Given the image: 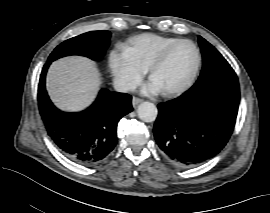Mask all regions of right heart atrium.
<instances>
[{
	"instance_id": "obj_1",
	"label": "right heart atrium",
	"mask_w": 270,
	"mask_h": 213,
	"mask_svg": "<svg viewBox=\"0 0 270 213\" xmlns=\"http://www.w3.org/2000/svg\"><path fill=\"white\" fill-rule=\"evenodd\" d=\"M111 66L116 81L126 88H135L142 80L146 68L131 63L123 53L113 52L111 55Z\"/></svg>"
}]
</instances>
